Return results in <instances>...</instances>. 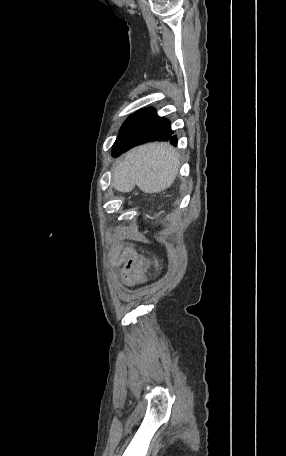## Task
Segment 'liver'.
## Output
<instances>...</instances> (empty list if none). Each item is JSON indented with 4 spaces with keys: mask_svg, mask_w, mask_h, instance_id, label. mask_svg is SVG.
I'll return each instance as SVG.
<instances>
[{
    "mask_svg": "<svg viewBox=\"0 0 286 456\" xmlns=\"http://www.w3.org/2000/svg\"><path fill=\"white\" fill-rule=\"evenodd\" d=\"M179 169V157L169 143H148L130 150L113 170V186L131 192L135 185L144 193L169 188Z\"/></svg>",
    "mask_w": 286,
    "mask_h": 456,
    "instance_id": "1",
    "label": "liver"
}]
</instances>
